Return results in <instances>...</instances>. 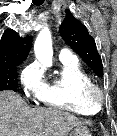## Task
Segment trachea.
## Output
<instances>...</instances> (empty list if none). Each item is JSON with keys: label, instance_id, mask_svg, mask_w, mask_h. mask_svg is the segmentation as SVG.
I'll list each match as a JSON object with an SVG mask.
<instances>
[{"label": "trachea", "instance_id": "obj_1", "mask_svg": "<svg viewBox=\"0 0 117 136\" xmlns=\"http://www.w3.org/2000/svg\"><path fill=\"white\" fill-rule=\"evenodd\" d=\"M33 3L35 5H42L44 3V0H33Z\"/></svg>", "mask_w": 117, "mask_h": 136}]
</instances>
